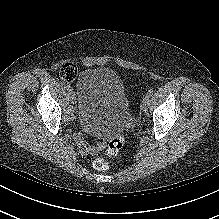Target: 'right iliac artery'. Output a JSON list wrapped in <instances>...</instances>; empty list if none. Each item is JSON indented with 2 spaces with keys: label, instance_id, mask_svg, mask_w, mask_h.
I'll return each mask as SVG.
<instances>
[{
  "label": "right iliac artery",
  "instance_id": "82829eb1",
  "mask_svg": "<svg viewBox=\"0 0 219 219\" xmlns=\"http://www.w3.org/2000/svg\"><path fill=\"white\" fill-rule=\"evenodd\" d=\"M67 90L70 92L72 91L71 87L69 85L66 86Z\"/></svg>",
  "mask_w": 219,
  "mask_h": 219
}]
</instances>
